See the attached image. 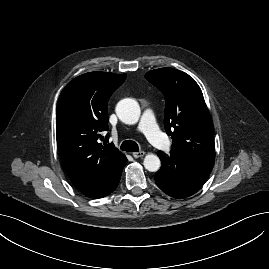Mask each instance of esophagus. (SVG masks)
<instances>
[{
  "instance_id": "34e87169",
  "label": "esophagus",
  "mask_w": 269,
  "mask_h": 269,
  "mask_svg": "<svg viewBox=\"0 0 269 269\" xmlns=\"http://www.w3.org/2000/svg\"><path fill=\"white\" fill-rule=\"evenodd\" d=\"M132 155H133L134 158H140V157L145 155V152L144 151H138V152L132 153Z\"/></svg>"
}]
</instances>
